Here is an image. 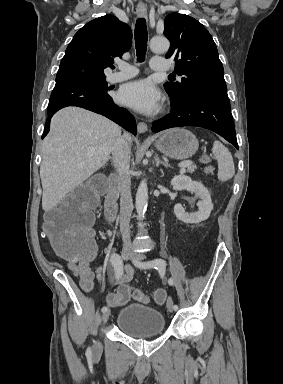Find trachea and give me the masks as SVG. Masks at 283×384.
<instances>
[{"instance_id": "obj_1", "label": "trachea", "mask_w": 283, "mask_h": 384, "mask_svg": "<svg viewBox=\"0 0 283 384\" xmlns=\"http://www.w3.org/2000/svg\"><path fill=\"white\" fill-rule=\"evenodd\" d=\"M148 42V32L146 21L144 18H139L135 26V47L137 54V61L144 62ZM169 77L175 78V75H169Z\"/></svg>"}]
</instances>
